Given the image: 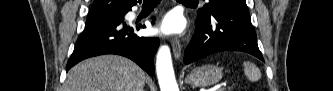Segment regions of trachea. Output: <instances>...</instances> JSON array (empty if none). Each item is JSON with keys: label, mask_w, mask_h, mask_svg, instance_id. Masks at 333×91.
<instances>
[{"label": "trachea", "mask_w": 333, "mask_h": 91, "mask_svg": "<svg viewBox=\"0 0 333 91\" xmlns=\"http://www.w3.org/2000/svg\"><path fill=\"white\" fill-rule=\"evenodd\" d=\"M179 2L185 3V2H192L193 0H178ZM160 0H144V3H156L158 4Z\"/></svg>", "instance_id": "1"}]
</instances>
